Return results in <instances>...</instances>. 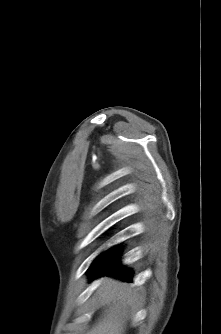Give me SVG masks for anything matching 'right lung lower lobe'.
<instances>
[{
  "instance_id": "right-lung-lower-lobe-1",
  "label": "right lung lower lobe",
  "mask_w": 221,
  "mask_h": 334,
  "mask_svg": "<svg viewBox=\"0 0 221 334\" xmlns=\"http://www.w3.org/2000/svg\"><path fill=\"white\" fill-rule=\"evenodd\" d=\"M132 274L133 273L130 269L124 268L116 259H114L109 265L92 272L91 279L102 275H112L123 280L130 281Z\"/></svg>"
}]
</instances>
